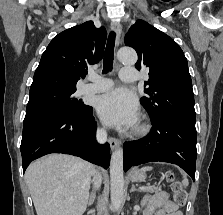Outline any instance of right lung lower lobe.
<instances>
[{"label": "right lung lower lobe", "mask_w": 223, "mask_h": 215, "mask_svg": "<svg viewBox=\"0 0 223 215\" xmlns=\"http://www.w3.org/2000/svg\"><path fill=\"white\" fill-rule=\"evenodd\" d=\"M93 109L84 117L51 115L24 121L21 141L23 173L35 159L49 153L79 156L109 167L110 146L95 140Z\"/></svg>", "instance_id": "1"}]
</instances>
